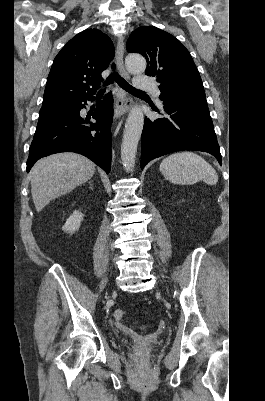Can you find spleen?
Wrapping results in <instances>:
<instances>
[{
    "label": "spleen",
    "mask_w": 265,
    "mask_h": 401,
    "mask_svg": "<svg viewBox=\"0 0 265 401\" xmlns=\"http://www.w3.org/2000/svg\"><path fill=\"white\" fill-rule=\"evenodd\" d=\"M160 170L173 184H195L204 180L207 184H216L218 174L209 162L195 152H174L164 158Z\"/></svg>",
    "instance_id": "3e777b00"
}]
</instances>
